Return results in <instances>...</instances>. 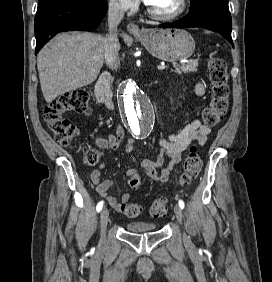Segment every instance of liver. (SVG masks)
<instances>
[{
	"instance_id": "6515ba94",
	"label": "liver",
	"mask_w": 272,
	"mask_h": 282,
	"mask_svg": "<svg viewBox=\"0 0 272 282\" xmlns=\"http://www.w3.org/2000/svg\"><path fill=\"white\" fill-rule=\"evenodd\" d=\"M104 41V36L88 32L60 34L38 53L40 85L47 103L97 79L104 63Z\"/></svg>"
}]
</instances>
